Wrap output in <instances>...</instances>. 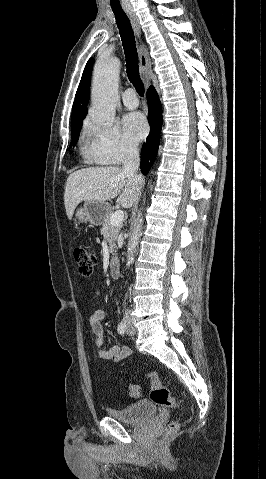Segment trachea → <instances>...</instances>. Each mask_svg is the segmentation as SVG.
Wrapping results in <instances>:
<instances>
[{
	"mask_svg": "<svg viewBox=\"0 0 266 479\" xmlns=\"http://www.w3.org/2000/svg\"><path fill=\"white\" fill-rule=\"evenodd\" d=\"M119 28L122 45L127 63V76L129 81L134 85L137 93L144 96V84L139 75L138 54L135 44V36L130 21L122 9L112 8Z\"/></svg>",
	"mask_w": 266,
	"mask_h": 479,
	"instance_id": "trachea-1",
	"label": "trachea"
}]
</instances>
